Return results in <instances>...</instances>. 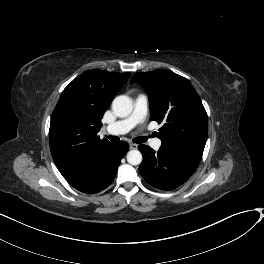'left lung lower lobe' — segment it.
Listing matches in <instances>:
<instances>
[{"label": "left lung lower lobe", "instance_id": "0a47b994", "mask_svg": "<svg viewBox=\"0 0 264 264\" xmlns=\"http://www.w3.org/2000/svg\"><path fill=\"white\" fill-rule=\"evenodd\" d=\"M138 149L143 155L140 174L149 185L161 190H172L185 183L202 157L191 151L166 147H160L157 153L146 145H139Z\"/></svg>", "mask_w": 264, "mask_h": 264}]
</instances>
